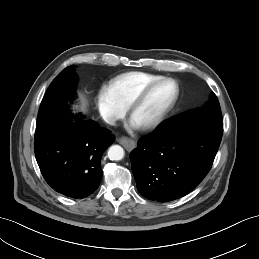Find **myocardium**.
<instances>
[{
    "label": "myocardium",
    "instance_id": "1",
    "mask_svg": "<svg viewBox=\"0 0 259 259\" xmlns=\"http://www.w3.org/2000/svg\"><path fill=\"white\" fill-rule=\"evenodd\" d=\"M165 82H171L176 87V92L174 95V98L172 101L159 113V115L153 119L152 121L140 126L142 130H152L156 127H158L165 118L169 115V113L174 109L176 106L179 98H180V85L178 81L172 77H161L155 81H152L151 83L144 86L129 102L126 110L128 116L131 118L132 114L134 113L135 109L145 100V98L148 96V94L158 85L165 83Z\"/></svg>",
    "mask_w": 259,
    "mask_h": 259
}]
</instances>
